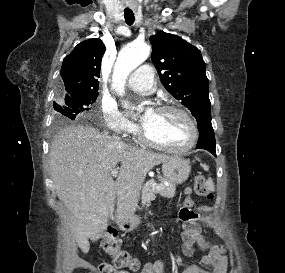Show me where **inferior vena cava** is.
I'll list each match as a JSON object with an SVG mask.
<instances>
[{"label": "inferior vena cava", "instance_id": "1", "mask_svg": "<svg viewBox=\"0 0 285 273\" xmlns=\"http://www.w3.org/2000/svg\"><path fill=\"white\" fill-rule=\"evenodd\" d=\"M116 140H120L118 137H114Z\"/></svg>", "mask_w": 285, "mask_h": 273}]
</instances>
